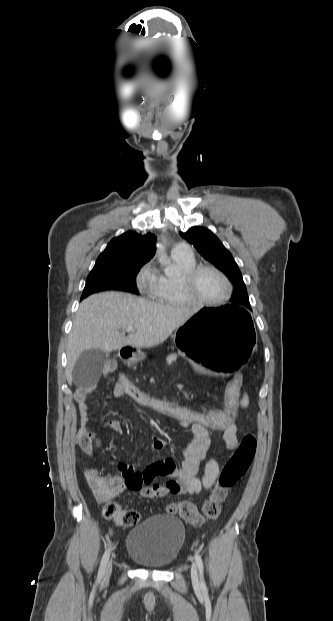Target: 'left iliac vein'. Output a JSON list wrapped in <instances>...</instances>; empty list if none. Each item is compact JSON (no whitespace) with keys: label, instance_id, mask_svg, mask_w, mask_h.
<instances>
[{"label":"left iliac vein","instance_id":"obj_1","mask_svg":"<svg viewBox=\"0 0 333 621\" xmlns=\"http://www.w3.org/2000/svg\"><path fill=\"white\" fill-rule=\"evenodd\" d=\"M191 578L194 585H199L198 571L195 563H192L191 566Z\"/></svg>","mask_w":333,"mask_h":621}]
</instances>
